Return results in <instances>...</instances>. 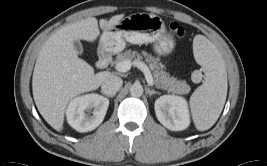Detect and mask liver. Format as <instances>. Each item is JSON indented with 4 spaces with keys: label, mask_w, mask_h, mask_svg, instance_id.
<instances>
[{
    "label": "liver",
    "mask_w": 267,
    "mask_h": 166,
    "mask_svg": "<svg viewBox=\"0 0 267 166\" xmlns=\"http://www.w3.org/2000/svg\"><path fill=\"white\" fill-rule=\"evenodd\" d=\"M124 14L100 20L102 30H110ZM98 21L89 17L69 24L53 34L43 45L35 63L32 91L38 111L56 131L63 130L65 110L70 100L81 93L96 90L111 75L94 73L87 62L77 56L73 42H93L99 36Z\"/></svg>",
    "instance_id": "obj_1"
}]
</instances>
